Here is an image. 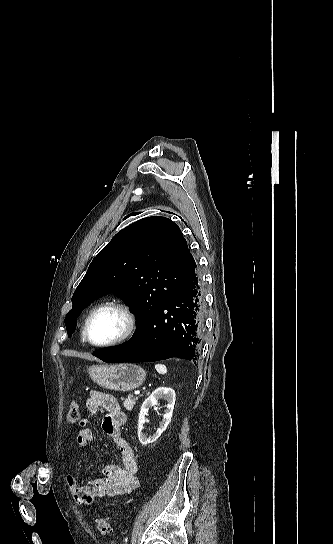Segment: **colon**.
<instances>
[{"label":"colon","instance_id":"1","mask_svg":"<svg viewBox=\"0 0 333 544\" xmlns=\"http://www.w3.org/2000/svg\"><path fill=\"white\" fill-rule=\"evenodd\" d=\"M79 403L74 401L71 403L68 413H67V421L71 424L76 423L79 420ZM94 523L96 526V529L102 534V535H108L111 532V524L109 517L104 516H97L94 519Z\"/></svg>","mask_w":333,"mask_h":544}]
</instances>
